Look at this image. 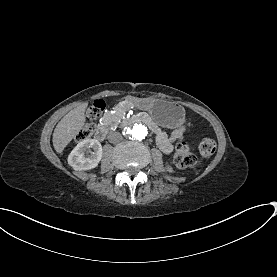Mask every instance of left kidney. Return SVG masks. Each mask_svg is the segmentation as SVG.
Masks as SVG:
<instances>
[{"label": "left kidney", "mask_w": 277, "mask_h": 277, "mask_svg": "<svg viewBox=\"0 0 277 277\" xmlns=\"http://www.w3.org/2000/svg\"><path fill=\"white\" fill-rule=\"evenodd\" d=\"M166 170L168 172H173V168L170 165H166Z\"/></svg>", "instance_id": "1"}]
</instances>
